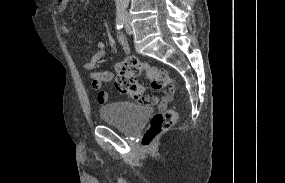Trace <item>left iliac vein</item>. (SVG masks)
<instances>
[{"label": "left iliac vein", "instance_id": "obj_1", "mask_svg": "<svg viewBox=\"0 0 285 183\" xmlns=\"http://www.w3.org/2000/svg\"><path fill=\"white\" fill-rule=\"evenodd\" d=\"M124 20H125V30L128 34H132L133 33V29L130 23V19L128 17V15L124 16Z\"/></svg>", "mask_w": 285, "mask_h": 183}]
</instances>
